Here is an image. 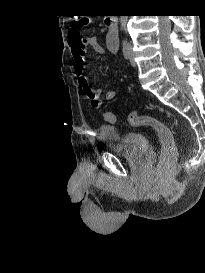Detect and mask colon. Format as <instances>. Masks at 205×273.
I'll use <instances>...</instances> for the list:
<instances>
[{
  "label": "colon",
  "instance_id": "1",
  "mask_svg": "<svg viewBox=\"0 0 205 273\" xmlns=\"http://www.w3.org/2000/svg\"><path fill=\"white\" fill-rule=\"evenodd\" d=\"M86 22L87 20L85 17H74L69 29L71 41L81 46L85 45V38L81 35V29L86 25ZM105 119L109 122L116 121L115 116L110 112L105 114ZM128 121L132 126L151 127L157 132L162 144L159 167L162 170L170 169L178 156L177 147L171 130L156 118L147 115H139L136 112H131L129 114Z\"/></svg>",
  "mask_w": 205,
  "mask_h": 273
}]
</instances>
